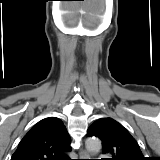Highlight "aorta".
<instances>
[{"label": "aorta", "instance_id": "762f6f07", "mask_svg": "<svg viewBox=\"0 0 160 160\" xmlns=\"http://www.w3.org/2000/svg\"><path fill=\"white\" fill-rule=\"evenodd\" d=\"M101 147V141L98 138H89L86 142V148L92 154L99 153Z\"/></svg>", "mask_w": 160, "mask_h": 160}]
</instances>
